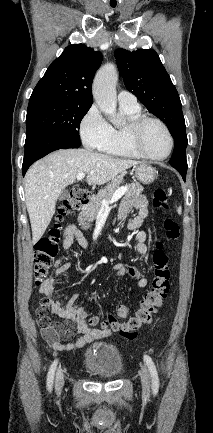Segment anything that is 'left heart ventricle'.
Instances as JSON below:
<instances>
[{"instance_id": "left-heart-ventricle-1", "label": "left heart ventricle", "mask_w": 213, "mask_h": 433, "mask_svg": "<svg viewBox=\"0 0 213 433\" xmlns=\"http://www.w3.org/2000/svg\"><path fill=\"white\" fill-rule=\"evenodd\" d=\"M144 149L155 156H163L169 150V139L163 128L153 122L148 123L142 131Z\"/></svg>"}]
</instances>
